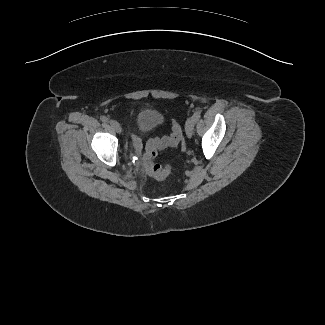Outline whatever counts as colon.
I'll use <instances>...</instances> for the list:
<instances>
[{
    "label": "colon",
    "instance_id": "1",
    "mask_svg": "<svg viewBox=\"0 0 325 325\" xmlns=\"http://www.w3.org/2000/svg\"><path fill=\"white\" fill-rule=\"evenodd\" d=\"M182 139V129L177 120H172L171 134L163 138L151 139L148 141L145 147L143 159L147 172L152 177L163 180L172 171L170 165H159L154 163L159 150L176 146Z\"/></svg>",
    "mask_w": 325,
    "mask_h": 325
}]
</instances>
